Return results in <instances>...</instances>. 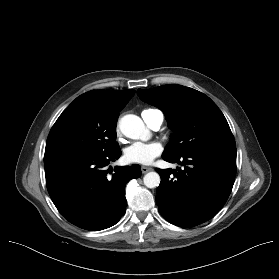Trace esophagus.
Returning a JSON list of instances; mask_svg holds the SVG:
<instances>
[{
  "label": "esophagus",
  "instance_id": "1",
  "mask_svg": "<svg viewBox=\"0 0 279 279\" xmlns=\"http://www.w3.org/2000/svg\"><path fill=\"white\" fill-rule=\"evenodd\" d=\"M151 170H152L151 167H146V166H142V167H141L142 173H147V172H149V171H151Z\"/></svg>",
  "mask_w": 279,
  "mask_h": 279
}]
</instances>
